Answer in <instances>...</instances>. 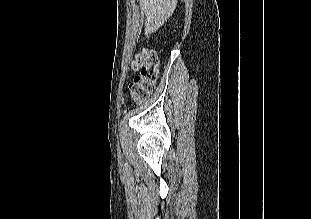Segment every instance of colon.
<instances>
[{
    "instance_id": "1",
    "label": "colon",
    "mask_w": 311,
    "mask_h": 219,
    "mask_svg": "<svg viewBox=\"0 0 311 219\" xmlns=\"http://www.w3.org/2000/svg\"><path fill=\"white\" fill-rule=\"evenodd\" d=\"M131 67L138 74L129 86L130 94L135 102L148 98L159 77V59L151 48L141 50L134 57Z\"/></svg>"
}]
</instances>
